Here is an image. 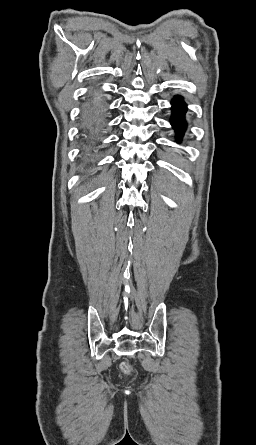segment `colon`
<instances>
[{
  "instance_id": "obj_1",
  "label": "colon",
  "mask_w": 256,
  "mask_h": 445,
  "mask_svg": "<svg viewBox=\"0 0 256 445\" xmlns=\"http://www.w3.org/2000/svg\"><path fill=\"white\" fill-rule=\"evenodd\" d=\"M121 369H122L124 372H128V371L130 370V366H129V364L124 363V364H122Z\"/></svg>"
}]
</instances>
